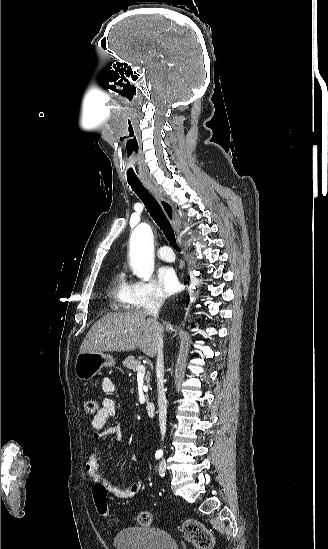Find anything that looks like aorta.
<instances>
[{
    "label": "aorta",
    "instance_id": "762f6f07",
    "mask_svg": "<svg viewBox=\"0 0 328 549\" xmlns=\"http://www.w3.org/2000/svg\"><path fill=\"white\" fill-rule=\"evenodd\" d=\"M152 231L148 224L138 225L130 239L131 262L138 277L148 281L153 273Z\"/></svg>",
    "mask_w": 328,
    "mask_h": 549
}]
</instances>
